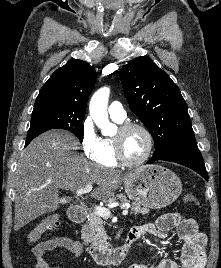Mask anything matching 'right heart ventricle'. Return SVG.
Returning a JSON list of instances; mask_svg holds the SVG:
<instances>
[{
    "label": "right heart ventricle",
    "instance_id": "obj_1",
    "mask_svg": "<svg viewBox=\"0 0 221 268\" xmlns=\"http://www.w3.org/2000/svg\"><path fill=\"white\" fill-rule=\"evenodd\" d=\"M97 163L106 167H116L118 165V161L116 160L114 153L112 138L106 137L102 139V150Z\"/></svg>",
    "mask_w": 221,
    "mask_h": 268
}]
</instances>
